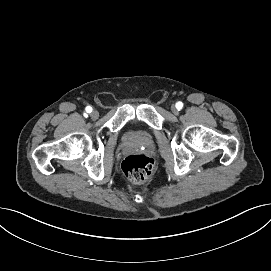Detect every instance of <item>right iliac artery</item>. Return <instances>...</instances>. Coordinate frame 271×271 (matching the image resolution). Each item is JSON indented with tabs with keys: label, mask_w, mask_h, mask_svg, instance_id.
<instances>
[{
	"label": "right iliac artery",
	"mask_w": 271,
	"mask_h": 271,
	"mask_svg": "<svg viewBox=\"0 0 271 271\" xmlns=\"http://www.w3.org/2000/svg\"><path fill=\"white\" fill-rule=\"evenodd\" d=\"M86 111H87L88 113L92 112V107L87 106V107H86Z\"/></svg>",
	"instance_id": "obj_1"
}]
</instances>
